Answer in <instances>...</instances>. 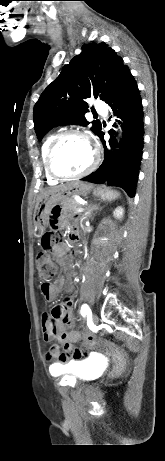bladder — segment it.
Segmentation results:
<instances>
[{
	"instance_id": "bladder-1",
	"label": "bladder",
	"mask_w": 165,
	"mask_h": 461,
	"mask_svg": "<svg viewBox=\"0 0 165 461\" xmlns=\"http://www.w3.org/2000/svg\"><path fill=\"white\" fill-rule=\"evenodd\" d=\"M101 365L98 358L90 356L70 364L65 371L71 372L77 380L87 381L99 376Z\"/></svg>"
}]
</instances>
